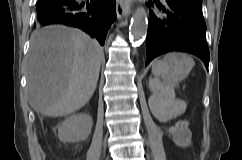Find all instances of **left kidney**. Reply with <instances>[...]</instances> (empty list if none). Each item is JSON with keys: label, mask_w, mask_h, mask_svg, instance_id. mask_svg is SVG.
I'll return each instance as SVG.
<instances>
[{"label": "left kidney", "mask_w": 242, "mask_h": 160, "mask_svg": "<svg viewBox=\"0 0 242 160\" xmlns=\"http://www.w3.org/2000/svg\"><path fill=\"white\" fill-rule=\"evenodd\" d=\"M176 113H183L186 109V103L184 101H176ZM150 108L152 114L157 118L160 122L166 123L172 118V113L169 112L165 106H163L157 99L151 98L150 100Z\"/></svg>", "instance_id": "left-kidney-1"}]
</instances>
